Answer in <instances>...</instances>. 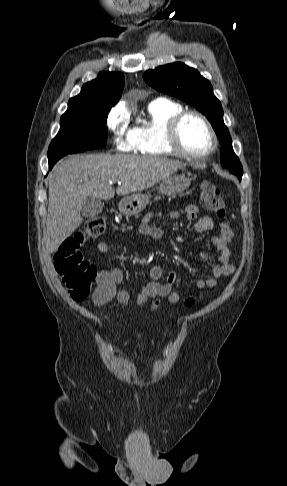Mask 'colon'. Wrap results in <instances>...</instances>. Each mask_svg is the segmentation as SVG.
Listing matches in <instances>:
<instances>
[{
  "mask_svg": "<svg viewBox=\"0 0 287 486\" xmlns=\"http://www.w3.org/2000/svg\"><path fill=\"white\" fill-rule=\"evenodd\" d=\"M201 201L218 218L225 216L223 197L216 185L208 181L202 183ZM105 229L106 221L103 217L88 219L82 230L61 244L54 257L56 272L75 301H83L89 297L98 276L96 267L84 259L79 249L86 240L101 236ZM194 301V298H188L186 305L191 306Z\"/></svg>",
  "mask_w": 287,
  "mask_h": 486,
  "instance_id": "obj_1",
  "label": "colon"
}]
</instances>
